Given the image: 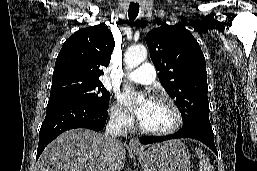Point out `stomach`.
<instances>
[{
    "label": "stomach",
    "instance_id": "obj_1",
    "mask_svg": "<svg viewBox=\"0 0 257 171\" xmlns=\"http://www.w3.org/2000/svg\"><path fill=\"white\" fill-rule=\"evenodd\" d=\"M134 154L144 171H190V154L180 140L157 143Z\"/></svg>",
    "mask_w": 257,
    "mask_h": 171
}]
</instances>
